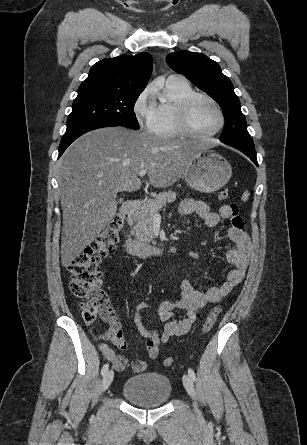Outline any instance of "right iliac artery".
<instances>
[{
    "mask_svg": "<svg viewBox=\"0 0 307 445\" xmlns=\"http://www.w3.org/2000/svg\"><path fill=\"white\" fill-rule=\"evenodd\" d=\"M108 368H109V364L108 363L104 364L101 369V374L104 375L108 371Z\"/></svg>",
    "mask_w": 307,
    "mask_h": 445,
    "instance_id": "82829eb1",
    "label": "right iliac artery"
}]
</instances>
